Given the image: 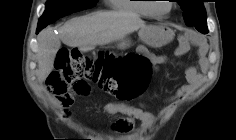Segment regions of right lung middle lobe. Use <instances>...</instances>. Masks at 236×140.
Returning <instances> with one entry per match:
<instances>
[{
    "instance_id": "dd1d6c3e",
    "label": "right lung middle lobe",
    "mask_w": 236,
    "mask_h": 140,
    "mask_svg": "<svg viewBox=\"0 0 236 140\" xmlns=\"http://www.w3.org/2000/svg\"><path fill=\"white\" fill-rule=\"evenodd\" d=\"M97 0H48L44 14L39 20L38 28H44L50 23L73 12L91 8Z\"/></svg>"
}]
</instances>
